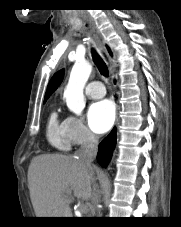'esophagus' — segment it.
Returning a JSON list of instances; mask_svg holds the SVG:
<instances>
[{"instance_id": "obj_1", "label": "esophagus", "mask_w": 181, "mask_h": 227, "mask_svg": "<svg viewBox=\"0 0 181 227\" xmlns=\"http://www.w3.org/2000/svg\"><path fill=\"white\" fill-rule=\"evenodd\" d=\"M89 26L91 28V32H92L93 38H94L97 46L99 47V50H100L103 58L105 59V61L107 63H110L111 62V59H110V57H109V55H108V53H107V51H106V49L104 47L103 42L101 41V39L99 37V33H98L96 27L93 26V25H91V24H89Z\"/></svg>"}]
</instances>
